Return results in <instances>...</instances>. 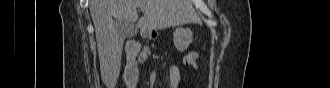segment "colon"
I'll return each instance as SVG.
<instances>
[{
  "label": "colon",
  "instance_id": "5ec220e1",
  "mask_svg": "<svg viewBox=\"0 0 330 88\" xmlns=\"http://www.w3.org/2000/svg\"><path fill=\"white\" fill-rule=\"evenodd\" d=\"M195 60H196V53L195 52L188 53L186 58H185L186 64L191 65V66L195 65Z\"/></svg>",
  "mask_w": 330,
  "mask_h": 88
}]
</instances>
